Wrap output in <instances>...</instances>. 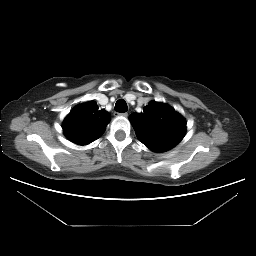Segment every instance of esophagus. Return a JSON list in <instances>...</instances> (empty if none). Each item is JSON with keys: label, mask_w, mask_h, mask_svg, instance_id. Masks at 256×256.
Masks as SVG:
<instances>
[{"label": "esophagus", "mask_w": 256, "mask_h": 256, "mask_svg": "<svg viewBox=\"0 0 256 256\" xmlns=\"http://www.w3.org/2000/svg\"><path fill=\"white\" fill-rule=\"evenodd\" d=\"M118 115H122L124 117H127L128 116V113H119Z\"/></svg>", "instance_id": "1"}]
</instances>
